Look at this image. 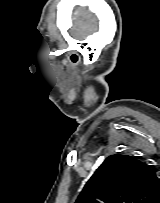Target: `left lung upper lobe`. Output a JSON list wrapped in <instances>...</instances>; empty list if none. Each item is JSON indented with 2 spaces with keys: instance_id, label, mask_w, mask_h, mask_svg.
I'll use <instances>...</instances> for the list:
<instances>
[{
  "instance_id": "5c2ea615",
  "label": "left lung upper lobe",
  "mask_w": 160,
  "mask_h": 203,
  "mask_svg": "<svg viewBox=\"0 0 160 203\" xmlns=\"http://www.w3.org/2000/svg\"><path fill=\"white\" fill-rule=\"evenodd\" d=\"M160 179L144 162L129 155H111L84 186L75 203H154Z\"/></svg>"
}]
</instances>
